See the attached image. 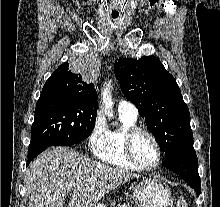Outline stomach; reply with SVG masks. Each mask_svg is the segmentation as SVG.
Returning a JSON list of instances; mask_svg holds the SVG:
<instances>
[{
  "label": "stomach",
  "mask_w": 220,
  "mask_h": 207,
  "mask_svg": "<svg viewBox=\"0 0 220 207\" xmlns=\"http://www.w3.org/2000/svg\"><path fill=\"white\" fill-rule=\"evenodd\" d=\"M133 199L138 207H169L171 191L159 177L143 178L133 187ZM94 207H104L96 204Z\"/></svg>",
  "instance_id": "obj_1"
}]
</instances>
